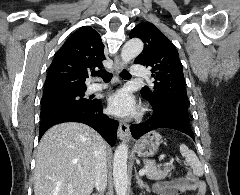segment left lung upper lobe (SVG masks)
I'll list each match as a JSON object with an SVG mask.
<instances>
[{
    "label": "left lung upper lobe",
    "mask_w": 240,
    "mask_h": 195,
    "mask_svg": "<svg viewBox=\"0 0 240 195\" xmlns=\"http://www.w3.org/2000/svg\"><path fill=\"white\" fill-rule=\"evenodd\" d=\"M140 38L143 52L134 63L150 66L155 81L141 90L156 112H178L188 115L186 84L183 67L176 48L168 38L151 23H140L130 32V38Z\"/></svg>",
    "instance_id": "1"
}]
</instances>
